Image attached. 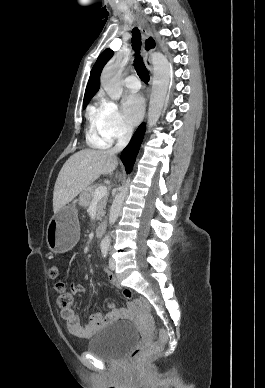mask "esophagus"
<instances>
[{
  "instance_id": "obj_1",
  "label": "esophagus",
  "mask_w": 265,
  "mask_h": 388,
  "mask_svg": "<svg viewBox=\"0 0 265 388\" xmlns=\"http://www.w3.org/2000/svg\"><path fill=\"white\" fill-rule=\"evenodd\" d=\"M136 19L138 27L142 34L143 39V51L145 54V66L147 67V70L150 74H152V65L150 62V54L155 48L157 47L156 39L154 38L150 27L147 23V20L139 13L136 12ZM152 79H150V85H151Z\"/></svg>"
}]
</instances>
